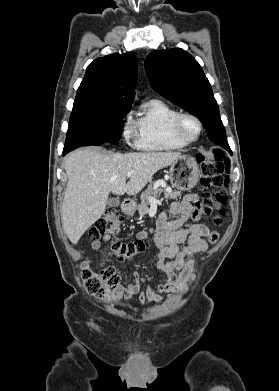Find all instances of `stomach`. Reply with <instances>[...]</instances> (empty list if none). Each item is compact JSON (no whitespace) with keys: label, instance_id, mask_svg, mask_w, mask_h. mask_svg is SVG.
<instances>
[{"label":"stomach","instance_id":"0dacf381","mask_svg":"<svg viewBox=\"0 0 279 391\" xmlns=\"http://www.w3.org/2000/svg\"><path fill=\"white\" fill-rule=\"evenodd\" d=\"M170 181L173 187L180 191H189L199 181L200 170L196 161L190 156H181L175 160L169 169ZM128 215L134 214V208L126 209Z\"/></svg>","mask_w":279,"mask_h":391}]
</instances>
